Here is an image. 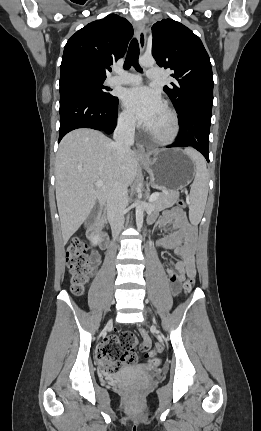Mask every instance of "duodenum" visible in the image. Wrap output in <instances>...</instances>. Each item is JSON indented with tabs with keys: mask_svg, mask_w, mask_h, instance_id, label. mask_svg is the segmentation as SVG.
I'll return each instance as SVG.
<instances>
[{
	"mask_svg": "<svg viewBox=\"0 0 261 431\" xmlns=\"http://www.w3.org/2000/svg\"><path fill=\"white\" fill-rule=\"evenodd\" d=\"M104 222L105 211L101 210L98 214V220L95 225L93 236L97 239L101 248L106 249L108 247L109 240L107 234L103 231Z\"/></svg>",
	"mask_w": 261,
	"mask_h": 431,
	"instance_id": "duodenum-1",
	"label": "duodenum"
}]
</instances>
